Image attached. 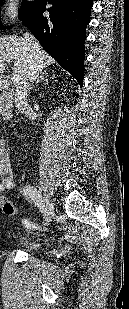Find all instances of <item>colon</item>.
<instances>
[{
  "instance_id": "obj_1",
  "label": "colon",
  "mask_w": 129,
  "mask_h": 309,
  "mask_svg": "<svg viewBox=\"0 0 129 309\" xmlns=\"http://www.w3.org/2000/svg\"><path fill=\"white\" fill-rule=\"evenodd\" d=\"M17 211L15 207L10 204H4V212L7 214H13Z\"/></svg>"
}]
</instances>
